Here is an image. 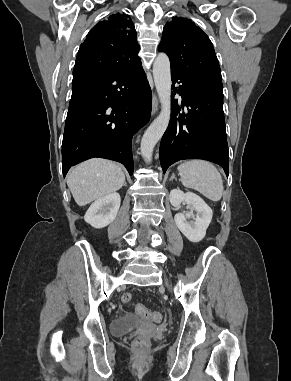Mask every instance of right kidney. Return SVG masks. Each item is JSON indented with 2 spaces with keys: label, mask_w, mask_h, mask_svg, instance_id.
<instances>
[{
  "label": "right kidney",
  "mask_w": 291,
  "mask_h": 381,
  "mask_svg": "<svg viewBox=\"0 0 291 381\" xmlns=\"http://www.w3.org/2000/svg\"><path fill=\"white\" fill-rule=\"evenodd\" d=\"M120 203V195L116 192L97 199L87 210L85 222L97 229L108 226L116 218Z\"/></svg>",
  "instance_id": "right-kidney-1"
}]
</instances>
